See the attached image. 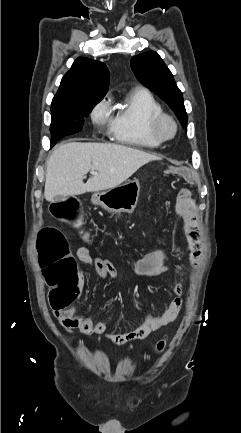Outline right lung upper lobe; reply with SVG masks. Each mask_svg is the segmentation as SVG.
<instances>
[{
    "label": "right lung upper lobe",
    "mask_w": 241,
    "mask_h": 433,
    "mask_svg": "<svg viewBox=\"0 0 241 433\" xmlns=\"http://www.w3.org/2000/svg\"><path fill=\"white\" fill-rule=\"evenodd\" d=\"M109 85L107 66L89 58H77L63 77L52 102L101 100Z\"/></svg>",
    "instance_id": "cb5924a9"
}]
</instances>
